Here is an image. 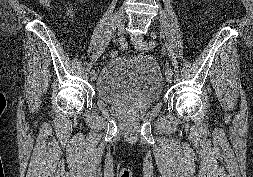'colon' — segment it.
<instances>
[{
    "mask_svg": "<svg viewBox=\"0 0 253 177\" xmlns=\"http://www.w3.org/2000/svg\"><path fill=\"white\" fill-rule=\"evenodd\" d=\"M41 2H42L43 4H50V5H51V1H50V0H42ZM110 56H111L112 58H115V57L118 56V53H117L116 51H112L111 54H110Z\"/></svg>",
    "mask_w": 253,
    "mask_h": 177,
    "instance_id": "5ec220e1",
    "label": "colon"
}]
</instances>
